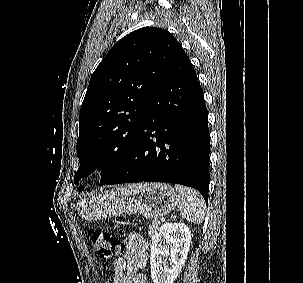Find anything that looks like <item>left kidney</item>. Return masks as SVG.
I'll return each instance as SVG.
<instances>
[{
	"mask_svg": "<svg viewBox=\"0 0 303 283\" xmlns=\"http://www.w3.org/2000/svg\"><path fill=\"white\" fill-rule=\"evenodd\" d=\"M191 231L183 223L161 226L151 243V278L153 283H173L187 258Z\"/></svg>",
	"mask_w": 303,
	"mask_h": 283,
	"instance_id": "1",
	"label": "left kidney"
}]
</instances>
